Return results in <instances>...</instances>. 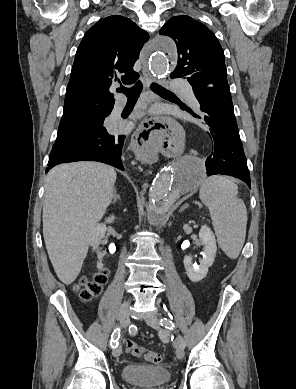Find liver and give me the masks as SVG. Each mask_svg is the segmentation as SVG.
I'll return each instance as SVG.
<instances>
[{
    "label": "liver",
    "instance_id": "liver-1",
    "mask_svg": "<svg viewBox=\"0 0 296 389\" xmlns=\"http://www.w3.org/2000/svg\"><path fill=\"white\" fill-rule=\"evenodd\" d=\"M116 171L98 162H74L51 169L46 178L43 236L60 279L79 275L94 229L114 196Z\"/></svg>",
    "mask_w": 296,
    "mask_h": 389
}]
</instances>
